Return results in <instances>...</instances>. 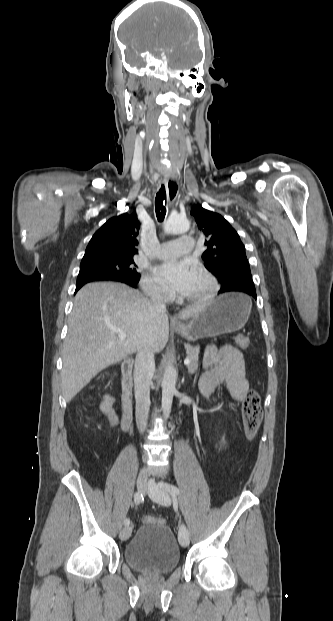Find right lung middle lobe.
I'll use <instances>...</instances> for the list:
<instances>
[{
  "label": "right lung middle lobe",
  "instance_id": "obj_1",
  "mask_svg": "<svg viewBox=\"0 0 333 621\" xmlns=\"http://www.w3.org/2000/svg\"><path fill=\"white\" fill-rule=\"evenodd\" d=\"M135 266L133 257L82 259L78 278L99 277L138 283L140 274L136 271Z\"/></svg>",
  "mask_w": 333,
  "mask_h": 621
}]
</instances>
